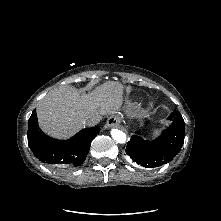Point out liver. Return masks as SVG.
Segmentation results:
<instances>
[{
    "label": "liver",
    "instance_id": "1",
    "mask_svg": "<svg viewBox=\"0 0 221 221\" xmlns=\"http://www.w3.org/2000/svg\"><path fill=\"white\" fill-rule=\"evenodd\" d=\"M123 86L108 81L91 93L80 95L73 87L61 86L44 96L37 105L41 129L55 138H68L81 130L88 117L116 112L123 102Z\"/></svg>",
    "mask_w": 221,
    "mask_h": 221
}]
</instances>
